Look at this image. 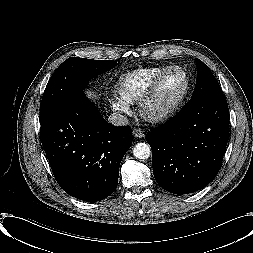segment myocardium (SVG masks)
Returning a JSON list of instances; mask_svg holds the SVG:
<instances>
[{
    "label": "myocardium",
    "mask_w": 253,
    "mask_h": 253,
    "mask_svg": "<svg viewBox=\"0 0 253 253\" xmlns=\"http://www.w3.org/2000/svg\"><path fill=\"white\" fill-rule=\"evenodd\" d=\"M172 71H180L185 80L184 88L181 94L178 96L176 101L167 109L154 111L152 110V102L156 96L157 90L160 83L166 77V75ZM190 90V78L187 71L180 66H171L161 72L156 78L152 81L151 85L139 100V114L140 116L151 123H162L172 118L182 107L188 93Z\"/></svg>",
    "instance_id": "1"
}]
</instances>
